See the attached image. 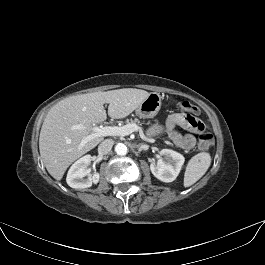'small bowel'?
I'll use <instances>...</instances> for the list:
<instances>
[{"label": "small bowel", "mask_w": 265, "mask_h": 265, "mask_svg": "<svg viewBox=\"0 0 265 265\" xmlns=\"http://www.w3.org/2000/svg\"><path fill=\"white\" fill-rule=\"evenodd\" d=\"M177 127H181L188 133L181 134L177 131ZM204 128V124L197 117L186 113H176L169 116L164 126L152 127L150 134L164 132L175 145L184 150H190L195 145L194 134L201 133Z\"/></svg>", "instance_id": "obj_1"}]
</instances>
